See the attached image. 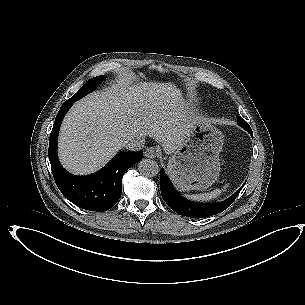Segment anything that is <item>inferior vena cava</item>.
I'll return each mask as SVG.
<instances>
[{"mask_svg": "<svg viewBox=\"0 0 305 305\" xmlns=\"http://www.w3.org/2000/svg\"><path fill=\"white\" fill-rule=\"evenodd\" d=\"M144 145V138H127L122 143V146L129 151H140L144 148Z\"/></svg>", "mask_w": 305, "mask_h": 305, "instance_id": "1", "label": "inferior vena cava"}]
</instances>
